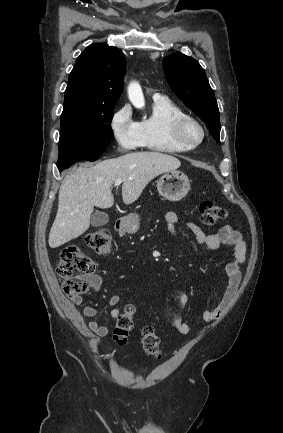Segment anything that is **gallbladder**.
Wrapping results in <instances>:
<instances>
[{
	"label": "gallbladder",
	"mask_w": 283,
	"mask_h": 433,
	"mask_svg": "<svg viewBox=\"0 0 283 433\" xmlns=\"http://www.w3.org/2000/svg\"><path fill=\"white\" fill-rule=\"evenodd\" d=\"M108 221L109 217L106 212H94L90 219L92 227H102V225H107Z\"/></svg>",
	"instance_id": "1"
}]
</instances>
